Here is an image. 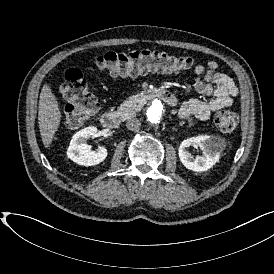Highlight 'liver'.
Masks as SVG:
<instances>
[{"label": "liver", "instance_id": "liver-1", "mask_svg": "<svg viewBox=\"0 0 274 274\" xmlns=\"http://www.w3.org/2000/svg\"><path fill=\"white\" fill-rule=\"evenodd\" d=\"M38 124L42 142L46 148L50 147L55 132L58 130L61 112L55 95L45 84L39 97Z\"/></svg>", "mask_w": 274, "mask_h": 274}]
</instances>
